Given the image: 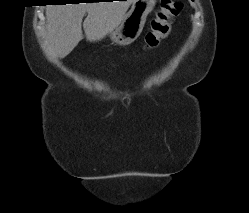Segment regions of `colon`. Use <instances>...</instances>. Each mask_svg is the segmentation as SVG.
Returning <instances> with one entry per match:
<instances>
[{
	"label": "colon",
	"mask_w": 249,
	"mask_h": 213,
	"mask_svg": "<svg viewBox=\"0 0 249 213\" xmlns=\"http://www.w3.org/2000/svg\"><path fill=\"white\" fill-rule=\"evenodd\" d=\"M181 11V2L177 0H160L155 16L151 20V29L145 36L146 50L155 49L168 36L173 20Z\"/></svg>",
	"instance_id": "obj_1"
}]
</instances>
